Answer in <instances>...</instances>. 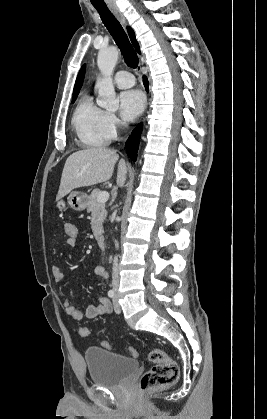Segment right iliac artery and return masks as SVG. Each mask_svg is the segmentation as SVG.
<instances>
[{"instance_id": "obj_1", "label": "right iliac artery", "mask_w": 267, "mask_h": 419, "mask_svg": "<svg viewBox=\"0 0 267 419\" xmlns=\"http://www.w3.org/2000/svg\"><path fill=\"white\" fill-rule=\"evenodd\" d=\"M108 296H109L110 298L114 297V291H113V290H109V291H108Z\"/></svg>"}]
</instances>
